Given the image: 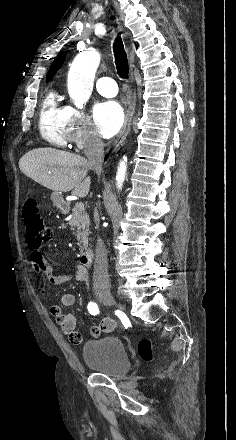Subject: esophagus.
I'll return each instance as SVG.
<instances>
[{"instance_id":"esophagus-1","label":"esophagus","mask_w":236,"mask_h":440,"mask_svg":"<svg viewBox=\"0 0 236 440\" xmlns=\"http://www.w3.org/2000/svg\"><path fill=\"white\" fill-rule=\"evenodd\" d=\"M129 59H130V65L131 68H133L134 66V53L133 51H130L129 53ZM134 110H135V100L133 98V101L131 102L130 106L128 107L127 111H126V115H125V122L123 125L122 130L120 131L118 137L116 138V140L113 143V149L116 150L125 140L129 130H130V126H131V121H132V117L134 115Z\"/></svg>"}]
</instances>
